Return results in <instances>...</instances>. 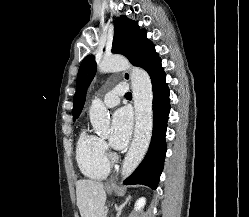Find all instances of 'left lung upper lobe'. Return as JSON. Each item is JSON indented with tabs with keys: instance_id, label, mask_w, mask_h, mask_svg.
Here are the masks:
<instances>
[{
	"instance_id": "1",
	"label": "left lung upper lobe",
	"mask_w": 249,
	"mask_h": 217,
	"mask_svg": "<svg viewBox=\"0 0 249 217\" xmlns=\"http://www.w3.org/2000/svg\"><path fill=\"white\" fill-rule=\"evenodd\" d=\"M112 53L126 56L129 61L138 67H142L148 73L161 62L155 51L154 45L146 38L145 30L138 26V22L124 15L115 21ZM96 72L94 55L86 56L81 62L77 76V91L74 96V107L80 114L86 92Z\"/></svg>"
}]
</instances>
